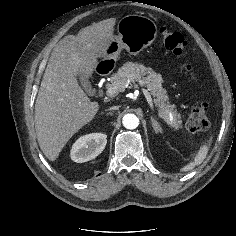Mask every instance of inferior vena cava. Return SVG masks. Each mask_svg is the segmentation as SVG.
Returning a JSON list of instances; mask_svg holds the SVG:
<instances>
[{"mask_svg": "<svg viewBox=\"0 0 236 236\" xmlns=\"http://www.w3.org/2000/svg\"><path fill=\"white\" fill-rule=\"evenodd\" d=\"M119 106H112L109 110H118Z\"/></svg>", "mask_w": 236, "mask_h": 236, "instance_id": "602c4592", "label": "inferior vena cava"}]
</instances>
